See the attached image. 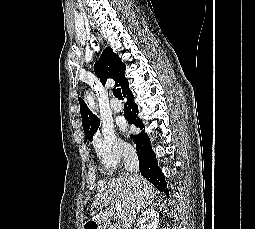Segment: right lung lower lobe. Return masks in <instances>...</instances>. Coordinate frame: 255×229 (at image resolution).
<instances>
[{
	"label": "right lung lower lobe",
	"mask_w": 255,
	"mask_h": 229,
	"mask_svg": "<svg viewBox=\"0 0 255 229\" xmlns=\"http://www.w3.org/2000/svg\"><path fill=\"white\" fill-rule=\"evenodd\" d=\"M123 96L127 99L124 108V116L130 124L143 129L144 124L137 118V105L134 103V97L129 89V84L122 91ZM133 141L136 144V151L139 158L141 174L151 182L159 191L164 192L169 197L167 183L165 177L158 167L155 153L151 149V143L148 135L142 131L138 135L133 136Z\"/></svg>",
	"instance_id": "obj_1"
}]
</instances>
